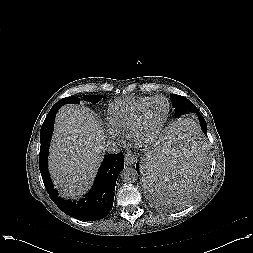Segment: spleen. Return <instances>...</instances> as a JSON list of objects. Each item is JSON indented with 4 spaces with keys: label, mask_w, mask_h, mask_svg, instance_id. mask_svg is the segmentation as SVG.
<instances>
[{
    "label": "spleen",
    "mask_w": 253,
    "mask_h": 253,
    "mask_svg": "<svg viewBox=\"0 0 253 253\" xmlns=\"http://www.w3.org/2000/svg\"><path fill=\"white\" fill-rule=\"evenodd\" d=\"M208 154L196 124L179 120L170 125L160 151L148 157L142 184L148 194L167 205L190 199L206 179Z\"/></svg>",
    "instance_id": "obj_1"
}]
</instances>
